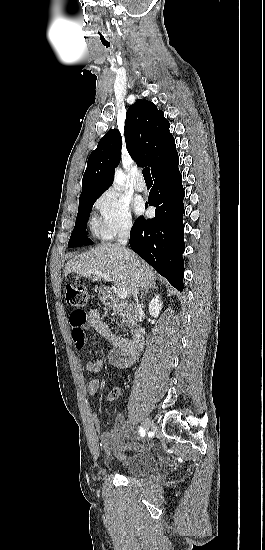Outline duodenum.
<instances>
[{"label": "duodenum", "instance_id": "duodenum-1", "mask_svg": "<svg viewBox=\"0 0 265 550\" xmlns=\"http://www.w3.org/2000/svg\"><path fill=\"white\" fill-rule=\"evenodd\" d=\"M101 297H102V300L104 301V303H106V304H112V303L115 302L114 296L108 291L102 292ZM129 342H130L131 347H132L133 350L138 351L139 349H141L144 345V331H143V329L136 328L134 333H133L132 338L129 339Z\"/></svg>", "mask_w": 265, "mask_h": 550}]
</instances>
